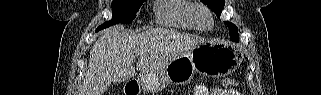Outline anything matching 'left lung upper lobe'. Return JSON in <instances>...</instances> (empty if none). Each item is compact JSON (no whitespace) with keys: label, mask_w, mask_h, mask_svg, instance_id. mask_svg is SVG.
Here are the masks:
<instances>
[{"label":"left lung upper lobe","mask_w":321,"mask_h":95,"mask_svg":"<svg viewBox=\"0 0 321 95\" xmlns=\"http://www.w3.org/2000/svg\"><path fill=\"white\" fill-rule=\"evenodd\" d=\"M202 3L206 4L216 15L217 17H220V14L223 10V7L225 5V0H200ZM226 25L229 27L230 30V38L232 40H238V28L230 23L225 22Z\"/></svg>","instance_id":"5c2ea615"}]
</instances>
